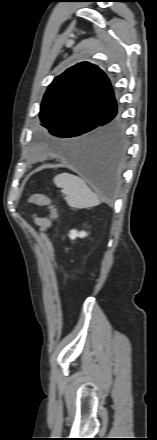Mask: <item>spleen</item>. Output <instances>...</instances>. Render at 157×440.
Here are the masks:
<instances>
[{
	"label": "spleen",
	"mask_w": 157,
	"mask_h": 440,
	"mask_svg": "<svg viewBox=\"0 0 157 440\" xmlns=\"http://www.w3.org/2000/svg\"><path fill=\"white\" fill-rule=\"evenodd\" d=\"M54 184L61 188L66 195L67 204L75 209L95 207L100 204L97 195L85 184V182L72 174L61 173L53 179Z\"/></svg>",
	"instance_id": "3e777b00"
}]
</instances>
